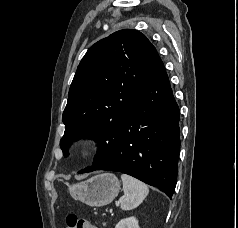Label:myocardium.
I'll use <instances>...</instances> for the list:
<instances>
[{"label":"myocardium","instance_id":"f54148a6","mask_svg":"<svg viewBox=\"0 0 238 228\" xmlns=\"http://www.w3.org/2000/svg\"><path fill=\"white\" fill-rule=\"evenodd\" d=\"M95 145H96V140L88 139L83 143L82 148L84 151H88L92 149Z\"/></svg>","mask_w":238,"mask_h":228}]
</instances>
